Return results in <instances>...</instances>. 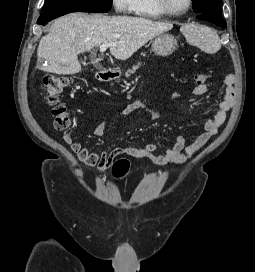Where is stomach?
<instances>
[{"label":"stomach","mask_w":255,"mask_h":272,"mask_svg":"<svg viewBox=\"0 0 255 272\" xmlns=\"http://www.w3.org/2000/svg\"><path fill=\"white\" fill-rule=\"evenodd\" d=\"M176 38L168 33H162L152 41V51L155 55L166 57L171 55L177 49Z\"/></svg>","instance_id":"1"}]
</instances>
